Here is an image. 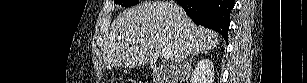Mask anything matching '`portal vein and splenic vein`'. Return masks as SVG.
I'll return each instance as SVG.
<instances>
[{"label": "portal vein and splenic vein", "instance_id": "18ae733b", "mask_svg": "<svg viewBox=\"0 0 307 83\" xmlns=\"http://www.w3.org/2000/svg\"><path fill=\"white\" fill-rule=\"evenodd\" d=\"M162 56L165 58V59H170V58H172V56H173V53H172V51H170V50H167V49H165V48H162Z\"/></svg>", "mask_w": 307, "mask_h": 83}]
</instances>
